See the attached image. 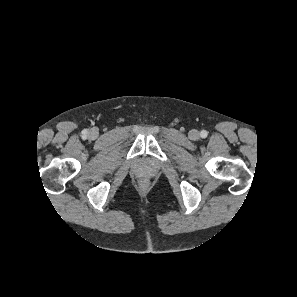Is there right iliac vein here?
I'll return each mask as SVG.
<instances>
[{
	"mask_svg": "<svg viewBox=\"0 0 297 297\" xmlns=\"http://www.w3.org/2000/svg\"><path fill=\"white\" fill-rule=\"evenodd\" d=\"M97 131L96 130H94V129H92L90 132H89V137L91 138V139H95L96 137H97Z\"/></svg>",
	"mask_w": 297,
	"mask_h": 297,
	"instance_id": "1",
	"label": "right iliac vein"
}]
</instances>
